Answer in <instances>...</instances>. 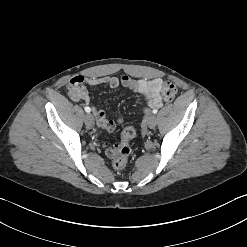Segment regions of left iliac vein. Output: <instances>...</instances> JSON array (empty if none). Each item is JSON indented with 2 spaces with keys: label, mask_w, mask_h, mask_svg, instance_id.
I'll list each match as a JSON object with an SVG mask.
<instances>
[{
  "label": "left iliac vein",
  "mask_w": 247,
  "mask_h": 247,
  "mask_svg": "<svg viewBox=\"0 0 247 247\" xmlns=\"http://www.w3.org/2000/svg\"><path fill=\"white\" fill-rule=\"evenodd\" d=\"M156 124H157V119H156V116L155 115H150L149 116V119H148V126L149 128L153 129L156 127Z\"/></svg>",
  "instance_id": "obj_1"
}]
</instances>
